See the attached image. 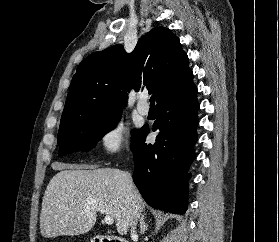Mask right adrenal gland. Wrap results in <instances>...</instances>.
Returning a JSON list of instances; mask_svg holds the SVG:
<instances>
[{"instance_id": "obj_1", "label": "right adrenal gland", "mask_w": 279, "mask_h": 242, "mask_svg": "<svg viewBox=\"0 0 279 242\" xmlns=\"http://www.w3.org/2000/svg\"><path fill=\"white\" fill-rule=\"evenodd\" d=\"M140 234H144V232L148 229V224L145 222V214H142L140 217Z\"/></svg>"}]
</instances>
